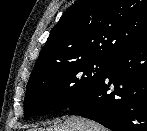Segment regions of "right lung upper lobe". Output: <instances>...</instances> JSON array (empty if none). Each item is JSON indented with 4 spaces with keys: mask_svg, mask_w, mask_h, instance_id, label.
Returning <instances> with one entry per match:
<instances>
[{
    "mask_svg": "<svg viewBox=\"0 0 147 131\" xmlns=\"http://www.w3.org/2000/svg\"><path fill=\"white\" fill-rule=\"evenodd\" d=\"M147 38V0H79L53 27L31 77L87 59L112 60Z\"/></svg>",
    "mask_w": 147,
    "mask_h": 131,
    "instance_id": "right-lung-upper-lobe-1",
    "label": "right lung upper lobe"
}]
</instances>
